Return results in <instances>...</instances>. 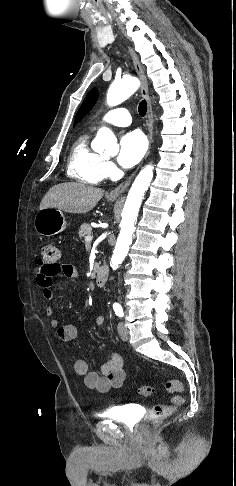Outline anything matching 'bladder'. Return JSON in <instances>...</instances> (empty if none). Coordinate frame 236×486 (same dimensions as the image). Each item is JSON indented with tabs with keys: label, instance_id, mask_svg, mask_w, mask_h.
Here are the masks:
<instances>
[{
	"label": "bladder",
	"instance_id": "obj_1",
	"mask_svg": "<svg viewBox=\"0 0 236 486\" xmlns=\"http://www.w3.org/2000/svg\"><path fill=\"white\" fill-rule=\"evenodd\" d=\"M137 408L134 405H119L99 413L102 419H108L125 425H133L136 421Z\"/></svg>",
	"mask_w": 236,
	"mask_h": 486
}]
</instances>
